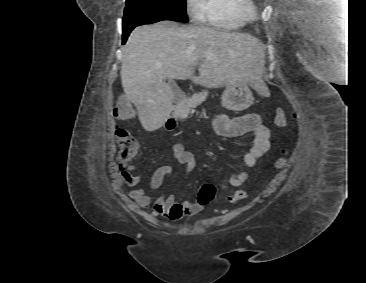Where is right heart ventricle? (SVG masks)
I'll use <instances>...</instances> for the list:
<instances>
[{"label": "right heart ventricle", "instance_id": "obj_1", "mask_svg": "<svg viewBox=\"0 0 366 283\" xmlns=\"http://www.w3.org/2000/svg\"><path fill=\"white\" fill-rule=\"evenodd\" d=\"M252 0H204L201 21L222 30L243 28L255 17Z\"/></svg>", "mask_w": 366, "mask_h": 283}]
</instances>
